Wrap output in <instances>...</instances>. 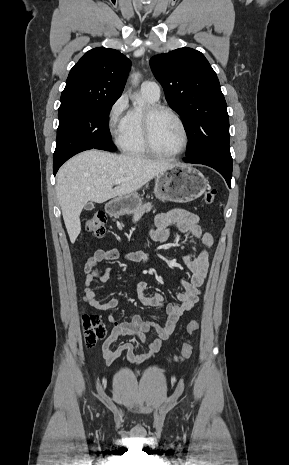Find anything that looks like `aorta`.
Segmentation results:
<instances>
[{
  "label": "aorta",
  "mask_w": 289,
  "mask_h": 465,
  "mask_svg": "<svg viewBox=\"0 0 289 465\" xmlns=\"http://www.w3.org/2000/svg\"><path fill=\"white\" fill-rule=\"evenodd\" d=\"M132 84L133 85H137L138 84V81H139V78H140V74L139 73H134L132 76ZM137 103L138 104H143V101L141 99L137 100Z\"/></svg>",
  "instance_id": "obj_1"
}]
</instances>
